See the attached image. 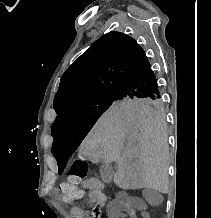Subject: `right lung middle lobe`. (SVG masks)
Returning a JSON list of instances; mask_svg holds the SVG:
<instances>
[{
	"instance_id": "right-lung-middle-lobe-1",
	"label": "right lung middle lobe",
	"mask_w": 211,
	"mask_h": 218,
	"mask_svg": "<svg viewBox=\"0 0 211 218\" xmlns=\"http://www.w3.org/2000/svg\"><path fill=\"white\" fill-rule=\"evenodd\" d=\"M146 107L155 111L164 108L161 97H121L116 93L86 100L59 115L52 126L53 145L68 144L78 147L98 118L110 107ZM63 167H59V174Z\"/></svg>"
}]
</instances>
